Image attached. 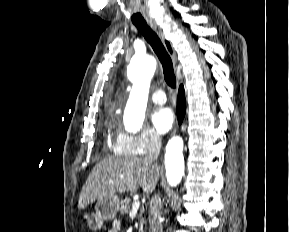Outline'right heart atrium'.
I'll use <instances>...</instances> for the list:
<instances>
[{"label":"right heart atrium","mask_w":289,"mask_h":232,"mask_svg":"<svg viewBox=\"0 0 289 232\" xmlns=\"http://www.w3.org/2000/svg\"><path fill=\"white\" fill-rule=\"evenodd\" d=\"M160 146L159 135L151 129H144L139 133H130L119 129L113 150L119 155L141 156L157 151Z\"/></svg>","instance_id":"d8ad5b80"}]
</instances>
